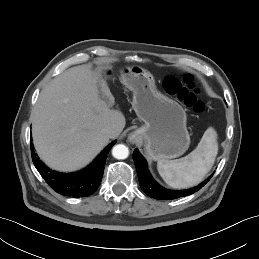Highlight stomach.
<instances>
[{"instance_id":"1","label":"stomach","mask_w":259,"mask_h":259,"mask_svg":"<svg viewBox=\"0 0 259 259\" xmlns=\"http://www.w3.org/2000/svg\"><path fill=\"white\" fill-rule=\"evenodd\" d=\"M105 79L112 75L111 66L98 68ZM122 83L133 92V108L144 122L131 137L144 142L146 154L153 160H168L185 153L190 145L186 113L182 106L161 94L152 74L142 67L121 69Z\"/></svg>"}]
</instances>
